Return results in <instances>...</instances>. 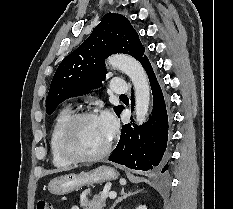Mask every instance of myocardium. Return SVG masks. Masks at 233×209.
Here are the masks:
<instances>
[{
	"label": "myocardium",
	"instance_id": "1",
	"mask_svg": "<svg viewBox=\"0 0 233 209\" xmlns=\"http://www.w3.org/2000/svg\"><path fill=\"white\" fill-rule=\"evenodd\" d=\"M90 117H97V114L90 110H85L75 113L69 118V120L64 126L60 141L61 152L66 159H68L73 163H88V162L97 161L105 157L111 149L112 140L111 138H109L104 148L95 154L81 155L73 150L71 143L76 126L82 120Z\"/></svg>",
	"mask_w": 233,
	"mask_h": 209
}]
</instances>
